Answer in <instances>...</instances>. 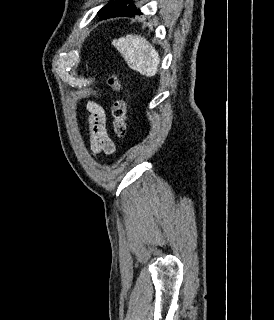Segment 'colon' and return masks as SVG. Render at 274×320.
I'll list each match as a JSON object with an SVG mask.
<instances>
[{
    "mask_svg": "<svg viewBox=\"0 0 274 320\" xmlns=\"http://www.w3.org/2000/svg\"><path fill=\"white\" fill-rule=\"evenodd\" d=\"M120 86V85H119ZM114 131L117 134H124L127 131V103L125 100H119L113 108Z\"/></svg>",
    "mask_w": 274,
    "mask_h": 320,
    "instance_id": "5ec220e1",
    "label": "colon"
}]
</instances>
